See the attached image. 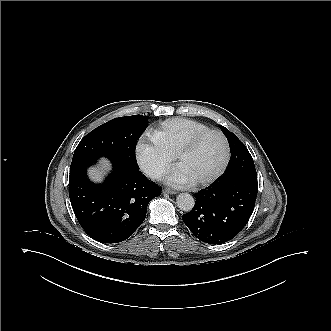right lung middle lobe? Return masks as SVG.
Masks as SVG:
<instances>
[{
	"label": "right lung middle lobe",
	"instance_id": "right-lung-middle-lobe-1",
	"mask_svg": "<svg viewBox=\"0 0 331 331\" xmlns=\"http://www.w3.org/2000/svg\"><path fill=\"white\" fill-rule=\"evenodd\" d=\"M147 117L133 115L115 118L91 131L75 149L71 167L108 157L131 171H139L135 148L140 134L147 128Z\"/></svg>",
	"mask_w": 331,
	"mask_h": 331
}]
</instances>
